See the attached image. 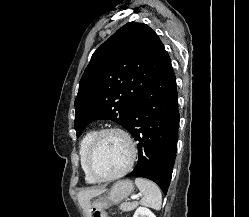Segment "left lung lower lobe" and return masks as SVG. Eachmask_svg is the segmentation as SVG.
Masks as SVG:
<instances>
[{"label":"left lung lower lobe","mask_w":249,"mask_h":217,"mask_svg":"<svg viewBox=\"0 0 249 217\" xmlns=\"http://www.w3.org/2000/svg\"><path fill=\"white\" fill-rule=\"evenodd\" d=\"M178 93L170 58L136 102L127 130L138 141V162L127 176L157 183L167 193L176 157Z\"/></svg>","instance_id":"left-lung-lower-lobe-1"}]
</instances>
